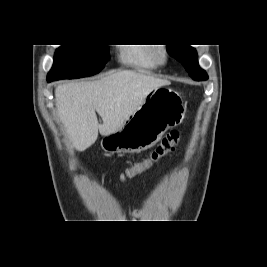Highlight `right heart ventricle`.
<instances>
[{"label":"right heart ventricle","mask_w":267,"mask_h":267,"mask_svg":"<svg viewBox=\"0 0 267 267\" xmlns=\"http://www.w3.org/2000/svg\"><path fill=\"white\" fill-rule=\"evenodd\" d=\"M153 46L126 45L121 46L118 54L119 62L140 71L155 70L158 66L154 59Z\"/></svg>","instance_id":"right-heart-ventricle-1"}]
</instances>
